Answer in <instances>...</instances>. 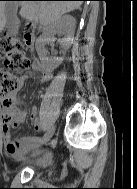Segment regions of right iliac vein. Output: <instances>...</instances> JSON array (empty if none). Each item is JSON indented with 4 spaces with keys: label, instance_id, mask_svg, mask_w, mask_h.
<instances>
[{
    "label": "right iliac vein",
    "instance_id": "right-iliac-vein-1",
    "mask_svg": "<svg viewBox=\"0 0 137 189\" xmlns=\"http://www.w3.org/2000/svg\"><path fill=\"white\" fill-rule=\"evenodd\" d=\"M55 132V127L52 126L49 130H48V133H46L44 135V137L42 139H40L39 141H36L32 146L31 148L29 149L30 151L31 150H35V149H38L39 147L43 146V145H46L49 140L51 139V137L53 136Z\"/></svg>",
    "mask_w": 137,
    "mask_h": 189
}]
</instances>
